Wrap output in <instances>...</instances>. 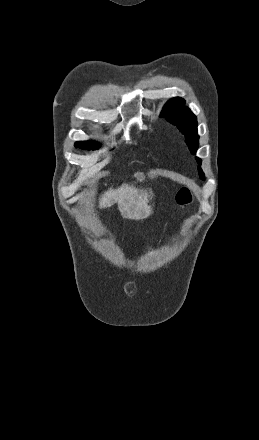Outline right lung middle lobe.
Masks as SVG:
<instances>
[{
  "mask_svg": "<svg viewBox=\"0 0 259 440\" xmlns=\"http://www.w3.org/2000/svg\"><path fill=\"white\" fill-rule=\"evenodd\" d=\"M75 147L91 150V149H97L99 147V144L94 141H79L75 144Z\"/></svg>",
  "mask_w": 259,
  "mask_h": 440,
  "instance_id": "1",
  "label": "right lung middle lobe"
}]
</instances>
